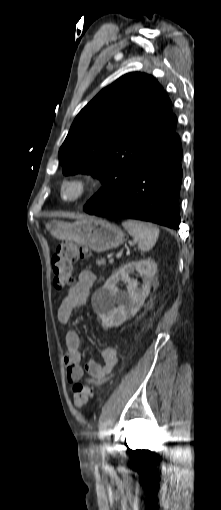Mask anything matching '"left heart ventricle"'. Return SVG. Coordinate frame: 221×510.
Returning <instances> with one entry per match:
<instances>
[{
  "mask_svg": "<svg viewBox=\"0 0 221 510\" xmlns=\"http://www.w3.org/2000/svg\"><path fill=\"white\" fill-rule=\"evenodd\" d=\"M74 194V190L73 189H70L67 191V195L71 196Z\"/></svg>",
  "mask_w": 221,
  "mask_h": 510,
  "instance_id": "obj_1",
  "label": "left heart ventricle"
}]
</instances>
